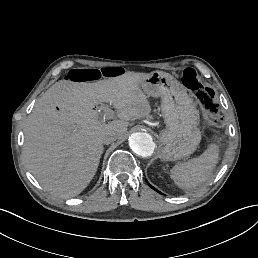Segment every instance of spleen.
Here are the masks:
<instances>
[{
    "label": "spleen",
    "mask_w": 258,
    "mask_h": 258,
    "mask_svg": "<svg viewBox=\"0 0 258 258\" xmlns=\"http://www.w3.org/2000/svg\"><path fill=\"white\" fill-rule=\"evenodd\" d=\"M218 155V146L212 144L199 157L176 164L171 169V178L179 188L194 190L211 177L218 163Z\"/></svg>",
    "instance_id": "obj_1"
}]
</instances>
